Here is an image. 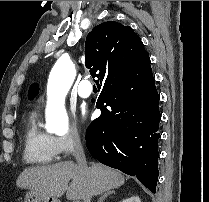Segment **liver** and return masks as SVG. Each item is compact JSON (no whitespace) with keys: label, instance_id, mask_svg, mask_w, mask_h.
<instances>
[{"label":"liver","instance_id":"liver-1","mask_svg":"<svg viewBox=\"0 0 209 202\" xmlns=\"http://www.w3.org/2000/svg\"><path fill=\"white\" fill-rule=\"evenodd\" d=\"M70 180L71 183L68 185ZM124 183L125 178L119 171L100 163H92L88 176H84L80 173L78 165L72 161H64L25 169L19 175L16 186L55 198L66 192L68 200L90 202L93 196L119 188Z\"/></svg>","mask_w":209,"mask_h":202}]
</instances>
